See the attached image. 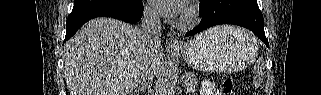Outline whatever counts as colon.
<instances>
[{
    "mask_svg": "<svg viewBox=\"0 0 321 95\" xmlns=\"http://www.w3.org/2000/svg\"><path fill=\"white\" fill-rule=\"evenodd\" d=\"M235 90V85L233 80L226 79L222 82L220 87V93L221 94H232Z\"/></svg>",
    "mask_w": 321,
    "mask_h": 95,
    "instance_id": "1",
    "label": "colon"
}]
</instances>
